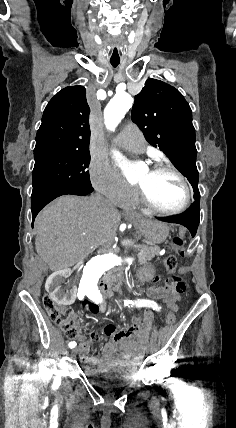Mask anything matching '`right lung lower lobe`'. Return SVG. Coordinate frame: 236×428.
<instances>
[{"instance_id":"obj_1","label":"right lung lower lobe","mask_w":236,"mask_h":428,"mask_svg":"<svg viewBox=\"0 0 236 428\" xmlns=\"http://www.w3.org/2000/svg\"><path fill=\"white\" fill-rule=\"evenodd\" d=\"M93 190L94 189L92 187L91 188H63V189H56L46 193H42L35 197H31V211H32V217H33L32 227L34 224L35 217L37 216L39 211L56 197H59L61 195H67V194L84 196L91 193Z\"/></svg>"}]
</instances>
